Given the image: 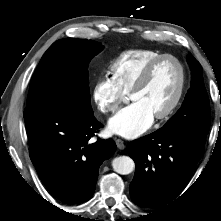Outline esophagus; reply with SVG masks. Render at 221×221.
Instances as JSON below:
<instances>
[{"instance_id": "34e87169", "label": "esophagus", "mask_w": 221, "mask_h": 221, "mask_svg": "<svg viewBox=\"0 0 221 221\" xmlns=\"http://www.w3.org/2000/svg\"><path fill=\"white\" fill-rule=\"evenodd\" d=\"M115 142H116L117 147L120 150H123L125 148V144L121 139H116Z\"/></svg>"}]
</instances>
